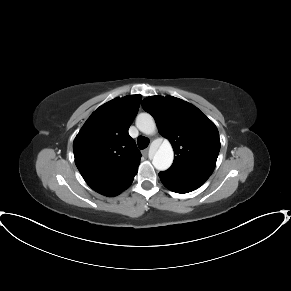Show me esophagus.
I'll return each mask as SVG.
<instances>
[{"label":"esophagus","mask_w":291,"mask_h":291,"mask_svg":"<svg viewBox=\"0 0 291 291\" xmlns=\"http://www.w3.org/2000/svg\"><path fill=\"white\" fill-rule=\"evenodd\" d=\"M144 154H145V155H147V154H148V149H146V150L144 151Z\"/></svg>","instance_id":"esophagus-1"}]
</instances>
